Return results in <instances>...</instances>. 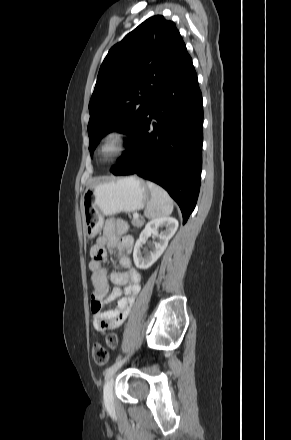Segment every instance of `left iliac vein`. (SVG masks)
I'll return each instance as SVG.
<instances>
[{
  "instance_id": "left-iliac-vein-1",
  "label": "left iliac vein",
  "mask_w": 291,
  "mask_h": 440,
  "mask_svg": "<svg viewBox=\"0 0 291 440\" xmlns=\"http://www.w3.org/2000/svg\"><path fill=\"white\" fill-rule=\"evenodd\" d=\"M113 382V378H110L104 386V399L107 405L112 402Z\"/></svg>"
}]
</instances>
